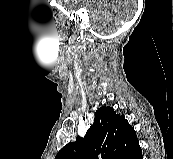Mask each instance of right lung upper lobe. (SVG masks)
<instances>
[{
  "instance_id": "cb5924a9",
  "label": "right lung upper lobe",
  "mask_w": 173,
  "mask_h": 159,
  "mask_svg": "<svg viewBox=\"0 0 173 159\" xmlns=\"http://www.w3.org/2000/svg\"><path fill=\"white\" fill-rule=\"evenodd\" d=\"M139 149L136 132L124 115L102 106L85 137L65 145L55 159H128Z\"/></svg>"
}]
</instances>
